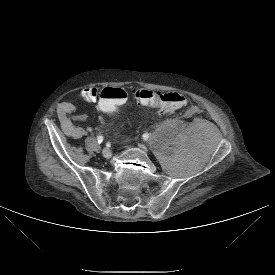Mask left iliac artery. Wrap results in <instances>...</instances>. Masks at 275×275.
<instances>
[{"label": "left iliac artery", "mask_w": 275, "mask_h": 275, "mask_svg": "<svg viewBox=\"0 0 275 275\" xmlns=\"http://www.w3.org/2000/svg\"><path fill=\"white\" fill-rule=\"evenodd\" d=\"M148 138H149V134L148 133L143 134V139L144 140H147Z\"/></svg>", "instance_id": "obj_1"}]
</instances>
